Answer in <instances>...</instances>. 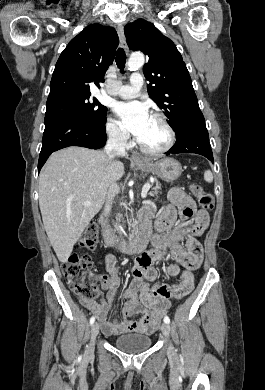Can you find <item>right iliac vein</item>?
I'll return each instance as SVG.
<instances>
[{"label":"right iliac vein","mask_w":265,"mask_h":390,"mask_svg":"<svg viewBox=\"0 0 265 390\" xmlns=\"http://www.w3.org/2000/svg\"><path fill=\"white\" fill-rule=\"evenodd\" d=\"M99 333V324L97 322H95L93 325H92V328H91V338H90V341H89V344L86 348V356L89 357L93 354L94 352V347H95V340H96V337Z\"/></svg>","instance_id":"63e3f726"}]
</instances>
